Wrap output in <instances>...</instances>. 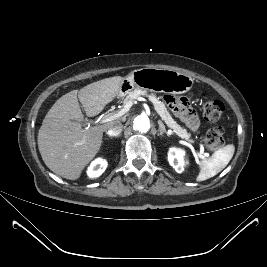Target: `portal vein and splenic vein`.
Returning a JSON list of instances; mask_svg holds the SVG:
<instances>
[{"instance_id": "1", "label": "portal vein and splenic vein", "mask_w": 267, "mask_h": 267, "mask_svg": "<svg viewBox=\"0 0 267 267\" xmlns=\"http://www.w3.org/2000/svg\"><path fill=\"white\" fill-rule=\"evenodd\" d=\"M138 101H146L145 98H142V97H138L137 98ZM133 105V103L129 102L125 107L124 109L120 110L119 112L117 113H112V114H109V115H105L101 120H100V124H104V123H107V122H111L113 120H116V119H119L121 118L130 108L131 106Z\"/></svg>"}]
</instances>
